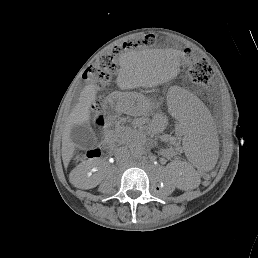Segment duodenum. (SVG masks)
I'll use <instances>...</instances> for the list:
<instances>
[{
	"label": "duodenum",
	"instance_id": "1",
	"mask_svg": "<svg viewBox=\"0 0 258 258\" xmlns=\"http://www.w3.org/2000/svg\"><path fill=\"white\" fill-rule=\"evenodd\" d=\"M87 155L92 156V157H98L99 151L98 150H90V151H88Z\"/></svg>",
	"mask_w": 258,
	"mask_h": 258
}]
</instances>
